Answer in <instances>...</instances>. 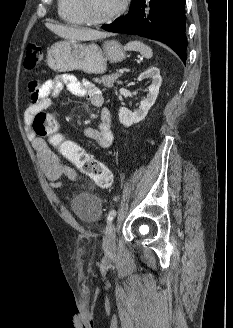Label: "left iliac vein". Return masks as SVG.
<instances>
[{"mask_svg": "<svg viewBox=\"0 0 233 328\" xmlns=\"http://www.w3.org/2000/svg\"><path fill=\"white\" fill-rule=\"evenodd\" d=\"M103 249L107 256L112 255L116 249V227L113 222L108 224L105 236L103 238Z\"/></svg>", "mask_w": 233, "mask_h": 328, "instance_id": "obj_1", "label": "left iliac vein"}]
</instances>
